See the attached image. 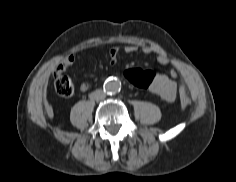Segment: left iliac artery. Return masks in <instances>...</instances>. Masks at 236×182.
<instances>
[{
    "instance_id": "44dca946",
    "label": "left iliac artery",
    "mask_w": 236,
    "mask_h": 182,
    "mask_svg": "<svg viewBox=\"0 0 236 182\" xmlns=\"http://www.w3.org/2000/svg\"><path fill=\"white\" fill-rule=\"evenodd\" d=\"M119 91H120V89H118V90H116V91H113V92L110 93V95H115L116 92H119Z\"/></svg>"
}]
</instances>
